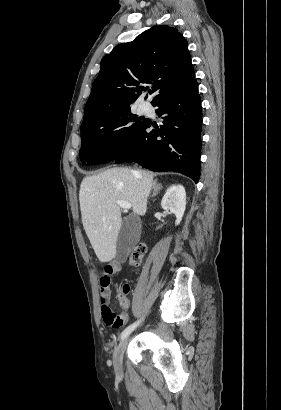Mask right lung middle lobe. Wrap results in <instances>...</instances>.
Wrapping results in <instances>:
<instances>
[{
	"label": "right lung middle lobe",
	"mask_w": 281,
	"mask_h": 410,
	"mask_svg": "<svg viewBox=\"0 0 281 410\" xmlns=\"http://www.w3.org/2000/svg\"><path fill=\"white\" fill-rule=\"evenodd\" d=\"M131 113L130 107L105 113L81 125L80 159L89 164L115 160L147 123Z\"/></svg>",
	"instance_id": "dd1d6c3e"
}]
</instances>
